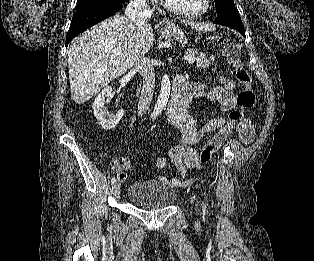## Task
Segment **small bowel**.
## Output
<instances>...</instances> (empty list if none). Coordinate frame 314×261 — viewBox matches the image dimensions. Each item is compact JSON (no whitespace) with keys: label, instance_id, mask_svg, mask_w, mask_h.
<instances>
[{"label":"small bowel","instance_id":"c3829d8e","mask_svg":"<svg viewBox=\"0 0 314 261\" xmlns=\"http://www.w3.org/2000/svg\"><path fill=\"white\" fill-rule=\"evenodd\" d=\"M188 89L193 93L194 99L204 98L218 102L223 112L231 111L236 104L234 90L235 82L225 76H219L214 79V84L193 83L187 84ZM170 121L181 131V145L170 149L169 159L159 157L155 165L159 170H165L170 162L176 168L180 178L160 175L159 179L163 183L178 187L181 184L191 182L189 170L198 167L203 168L197 163L198 154L190 148V145L200 143L208 133L220 129L227 121L224 117H215L202 126H198L197 121L185 111L178 113ZM238 131L242 141L249 144L254 138V128L249 120H242L238 124ZM131 168V159L129 157H120L111 165V169L117 174L120 183L127 180L126 170Z\"/></svg>","mask_w":314,"mask_h":261}]
</instances>
